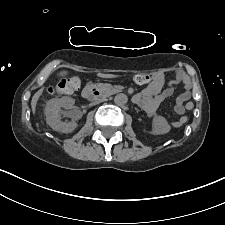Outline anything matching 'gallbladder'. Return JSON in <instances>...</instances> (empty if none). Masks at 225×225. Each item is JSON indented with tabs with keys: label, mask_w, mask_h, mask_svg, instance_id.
<instances>
[{
	"label": "gallbladder",
	"mask_w": 225,
	"mask_h": 225,
	"mask_svg": "<svg viewBox=\"0 0 225 225\" xmlns=\"http://www.w3.org/2000/svg\"><path fill=\"white\" fill-rule=\"evenodd\" d=\"M66 74H67L66 71H62V72L59 73V76H64V75H66Z\"/></svg>",
	"instance_id": "gallbladder-1"
}]
</instances>
